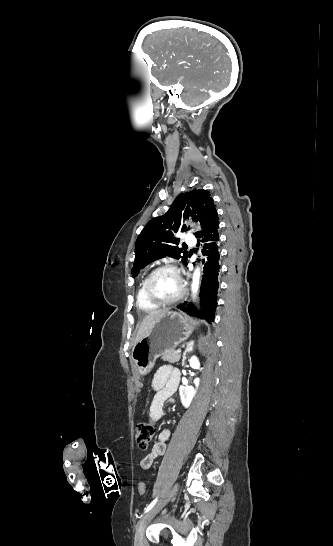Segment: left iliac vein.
<instances>
[{"instance_id":"obj_1","label":"left iliac vein","mask_w":333,"mask_h":546,"mask_svg":"<svg viewBox=\"0 0 333 546\" xmlns=\"http://www.w3.org/2000/svg\"><path fill=\"white\" fill-rule=\"evenodd\" d=\"M179 488V485L176 484L167 494V496L160 501L154 508L149 510L138 522L136 531H135V538H134V546H143V538H144V531L148 524V522L152 519V517L156 514L157 511H159L162 507H164L168 501L176 494L177 490Z\"/></svg>"}]
</instances>
